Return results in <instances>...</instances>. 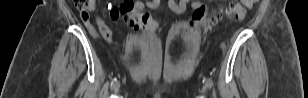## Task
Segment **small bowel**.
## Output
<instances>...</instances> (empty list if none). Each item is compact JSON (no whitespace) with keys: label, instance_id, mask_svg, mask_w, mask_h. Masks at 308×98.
<instances>
[{"label":"small bowel","instance_id":"c3829d8e","mask_svg":"<svg viewBox=\"0 0 308 98\" xmlns=\"http://www.w3.org/2000/svg\"><path fill=\"white\" fill-rule=\"evenodd\" d=\"M159 3H160L159 0H152V1H146V2L140 1V0L134 1V2L131 1V9L144 10L145 7L154 9L159 6ZM168 5L174 13L181 14L185 12L188 6L191 7L193 10H196L204 6V2L197 1V0H169ZM112 18L118 19V17L116 16H112ZM95 22L103 37H106L108 34H111L110 29L107 26L105 20L100 15L95 16Z\"/></svg>","mask_w":308,"mask_h":98}]
</instances>
